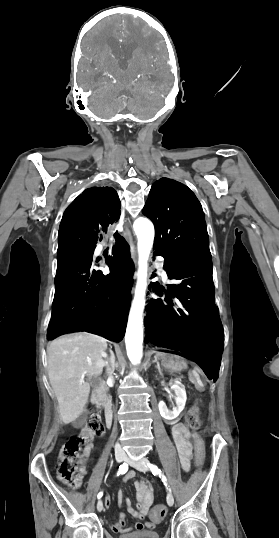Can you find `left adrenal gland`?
Masks as SVG:
<instances>
[{
	"instance_id": "1",
	"label": "left adrenal gland",
	"mask_w": 279,
	"mask_h": 538,
	"mask_svg": "<svg viewBox=\"0 0 279 538\" xmlns=\"http://www.w3.org/2000/svg\"><path fill=\"white\" fill-rule=\"evenodd\" d=\"M156 360H157V358H155L154 362H156ZM156 364H157L156 368H157L159 374H162L159 362H156Z\"/></svg>"
}]
</instances>
